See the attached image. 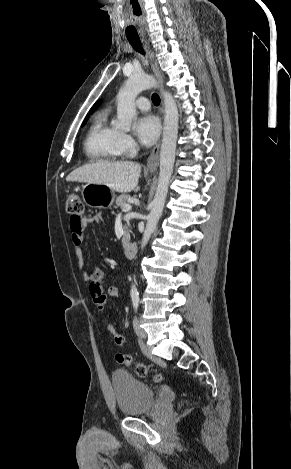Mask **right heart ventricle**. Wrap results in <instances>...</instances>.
Wrapping results in <instances>:
<instances>
[{
	"mask_svg": "<svg viewBox=\"0 0 291 469\" xmlns=\"http://www.w3.org/2000/svg\"><path fill=\"white\" fill-rule=\"evenodd\" d=\"M119 131L109 122V110L99 111L92 119L84 140L86 156L94 161H112L122 152L118 144Z\"/></svg>",
	"mask_w": 291,
	"mask_h": 469,
	"instance_id": "right-heart-ventricle-1",
	"label": "right heart ventricle"
}]
</instances>
